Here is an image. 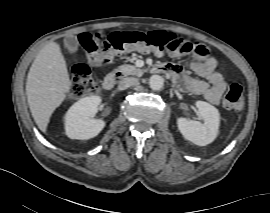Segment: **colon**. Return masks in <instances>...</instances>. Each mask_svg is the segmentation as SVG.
Segmentation results:
<instances>
[{"instance_id":"colon-1","label":"colon","mask_w":270,"mask_h":213,"mask_svg":"<svg viewBox=\"0 0 270 213\" xmlns=\"http://www.w3.org/2000/svg\"><path fill=\"white\" fill-rule=\"evenodd\" d=\"M78 42L87 51L89 63L92 65L110 62L116 55L125 51L159 55L167 49L173 54L194 53L198 57H203L208 52L201 43L191 42L160 30L110 35L84 32L79 35ZM98 89L99 83L88 67L77 65L72 70L70 94L74 99L86 97ZM243 101V87L238 83H232L223 97L222 106L227 110L240 109Z\"/></svg>"}]
</instances>
